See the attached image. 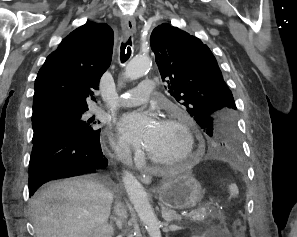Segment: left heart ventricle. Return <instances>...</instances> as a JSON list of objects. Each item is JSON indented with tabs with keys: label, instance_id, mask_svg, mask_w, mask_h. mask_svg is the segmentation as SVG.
Returning <instances> with one entry per match:
<instances>
[{
	"label": "left heart ventricle",
	"instance_id": "obj_1",
	"mask_svg": "<svg viewBox=\"0 0 297 237\" xmlns=\"http://www.w3.org/2000/svg\"><path fill=\"white\" fill-rule=\"evenodd\" d=\"M185 147L182 132L173 125L161 122L154 142L148 151L160 159H171L180 155Z\"/></svg>",
	"mask_w": 297,
	"mask_h": 237
}]
</instances>
